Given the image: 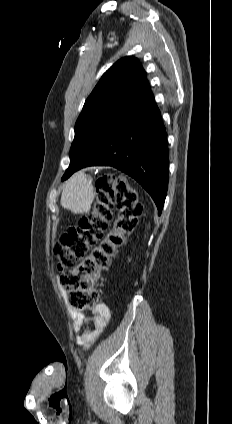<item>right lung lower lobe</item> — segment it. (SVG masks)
Wrapping results in <instances>:
<instances>
[{
    "instance_id": "obj_1",
    "label": "right lung lower lobe",
    "mask_w": 232,
    "mask_h": 424,
    "mask_svg": "<svg viewBox=\"0 0 232 424\" xmlns=\"http://www.w3.org/2000/svg\"><path fill=\"white\" fill-rule=\"evenodd\" d=\"M168 162L167 134L153 97L135 105L130 121L113 130L81 168L104 165L121 170L144 187L160 215L167 194Z\"/></svg>"
}]
</instances>
